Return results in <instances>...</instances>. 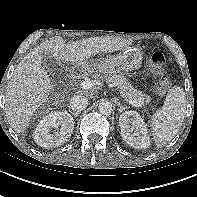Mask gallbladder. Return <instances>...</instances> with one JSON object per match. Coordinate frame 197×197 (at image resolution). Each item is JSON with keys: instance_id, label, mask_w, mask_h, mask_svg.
<instances>
[{"instance_id": "1", "label": "gallbladder", "mask_w": 197, "mask_h": 197, "mask_svg": "<svg viewBox=\"0 0 197 197\" xmlns=\"http://www.w3.org/2000/svg\"><path fill=\"white\" fill-rule=\"evenodd\" d=\"M42 63L43 67L46 69L47 72L50 74L53 73V68L56 66V63L49 53H44L42 55ZM54 75V74H53Z\"/></svg>"}]
</instances>
